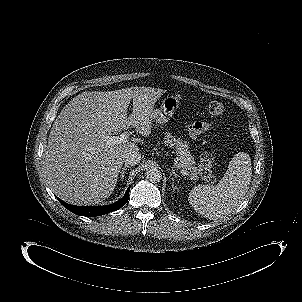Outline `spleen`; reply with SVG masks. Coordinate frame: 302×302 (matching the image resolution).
Returning <instances> with one entry per match:
<instances>
[{
  "instance_id": "1",
  "label": "spleen",
  "mask_w": 302,
  "mask_h": 302,
  "mask_svg": "<svg viewBox=\"0 0 302 302\" xmlns=\"http://www.w3.org/2000/svg\"><path fill=\"white\" fill-rule=\"evenodd\" d=\"M251 161L246 153H238L217 185L195 186L189 203L196 212L210 220L229 215L240 203L251 182Z\"/></svg>"
}]
</instances>
